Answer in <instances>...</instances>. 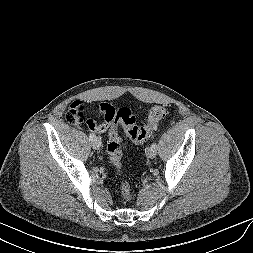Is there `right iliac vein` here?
<instances>
[{
    "instance_id": "1",
    "label": "right iliac vein",
    "mask_w": 253,
    "mask_h": 253,
    "mask_svg": "<svg viewBox=\"0 0 253 253\" xmlns=\"http://www.w3.org/2000/svg\"><path fill=\"white\" fill-rule=\"evenodd\" d=\"M91 145H92L93 149L99 150L101 148V139L99 137H95L91 141Z\"/></svg>"
}]
</instances>
